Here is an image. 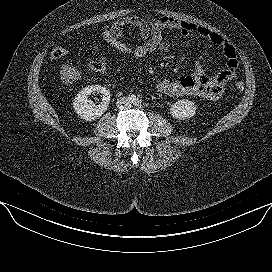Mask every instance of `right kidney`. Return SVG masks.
I'll use <instances>...</instances> for the list:
<instances>
[{
    "instance_id": "right-kidney-1",
    "label": "right kidney",
    "mask_w": 272,
    "mask_h": 272,
    "mask_svg": "<svg viewBox=\"0 0 272 272\" xmlns=\"http://www.w3.org/2000/svg\"><path fill=\"white\" fill-rule=\"evenodd\" d=\"M101 93L102 101L96 105L88 97L91 93ZM110 102V91L101 85H92L83 88L73 101L74 111L85 121H93L101 117L107 110Z\"/></svg>"
}]
</instances>
